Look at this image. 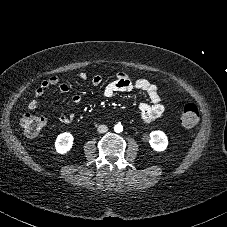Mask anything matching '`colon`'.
Instances as JSON below:
<instances>
[{
	"mask_svg": "<svg viewBox=\"0 0 227 227\" xmlns=\"http://www.w3.org/2000/svg\"><path fill=\"white\" fill-rule=\"evenodd\" d=\"M199 119L198 108L195 104H186L181 112L180 122L183 127L195 126ZM46 119L44 116L34 113H26L20 119V125L28 136H36L44 127Z\"/></svg>",
	"mask_w": 227,
	"mask_h": 227,
	"instance_id": "colon-1",
	"label": "colon"
}]
</instances>
